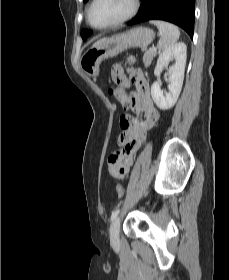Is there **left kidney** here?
I'll return each mask as SVG.
<instances>
[{
    "mask_svg": "<svg viewBox=\"0 0 229 280\" xmlns=\"http://www.w3.org/2000/svg\"><path fill=\"white\" fill-rule=\"evenodd\" d=\"M187 47L185 43H177L160 53L154 70L155 76L159 77L163 67L174 59L175 63L169 68L168 92L164 95L160 89V82L156 81L151 86V96L156 106L161 110L172 108L180 95L183 85L184 71L186 65Z\"/></svg>",
    "mask_w": 229,
    "mask_h": 280,
    "instance_id": "obj_1",
    "label": "left kidney"
}]
</instances>
